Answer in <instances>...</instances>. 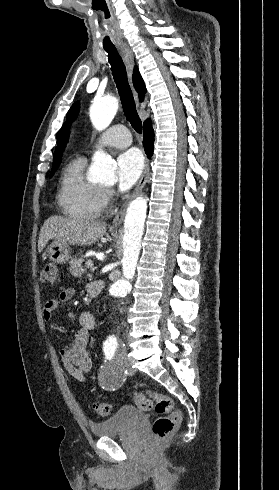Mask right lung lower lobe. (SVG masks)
<instances>
[{
    "label": "right lung lower lobe",
    "instance_id": "right-lung-lower-lobe-1",
    "mask_svg": "<svg viewBox=\"0 0 279 490\" xmlns=\"http://www.w3.org/2000/svg\"><path fill=\"white\" fill-rule=\"evenodd\" d=\"M153 143H154V131L152 129L151 123L144 127V140L143 145L147 156L150 158L153 153Z\"/></svg>",
    "mask_w": 279,
    "mask_h": 490
}]
</instances>
